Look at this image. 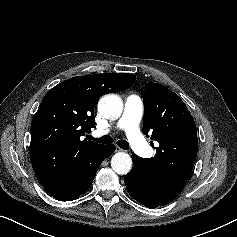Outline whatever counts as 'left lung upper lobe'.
Wrapping results in <instances>:
<instances>
[{
	"label": "left lung upper lobe",
	"instance_id": "obj_1",
	"mask_svg": "<svg viewBox=\"0 0 237 237\" xmlns=\"http://www.w3.org/2000/svg\"><path fill=\"white\" fill-rule=\"evenodd\" d=\"M143 133L159 143L152 158H142L144 172L160 181L186 183L197 156V129L181 98L168 88L149 82L143 91Z\"/></svg>",
	"mask_w": 237,
	"mask_h": 237
}]
</instances>
